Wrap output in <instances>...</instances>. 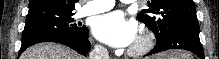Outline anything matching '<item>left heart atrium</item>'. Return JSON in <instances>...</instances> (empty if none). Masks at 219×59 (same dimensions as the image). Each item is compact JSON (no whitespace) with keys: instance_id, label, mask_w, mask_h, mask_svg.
<instances>
[{"instance_id":"obj_1","label":"left heart atrium","mask_w":219,"mask_h":59,"mask_svg":"<svg viewBox=\"0 0 219 59\" xmlns=\"http://www.w3.org/2000/svg\"><path fill=\"white\" fill-rule=\"evenodd\" d=\"M94 36L103 43L114 47L131 45L137 38V26L127 20L119 11L96 17L92 24Z\"/></svg>"}]
</instances>
